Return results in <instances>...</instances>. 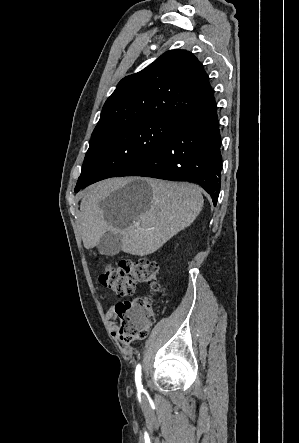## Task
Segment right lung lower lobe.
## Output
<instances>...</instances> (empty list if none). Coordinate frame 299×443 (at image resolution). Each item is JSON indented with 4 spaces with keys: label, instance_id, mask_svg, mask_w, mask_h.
<instances>
[{
    "label": "right lung lower lobe",
    "instance_id": "obj_1",
    "mask_svg": "<svg viewBox=\"0 0 299 443\" xmlns=\"http://www.w3.org/2000/svg\"><path fill=\"white\" fill-rule=\"evenodd\" d=\"M172 135L150 156L120 176H144L199 184L216 206L220 191L221 136L213 94L178 119Z\"/></svg>",
    "mask_w": 299,
    "mask_h": 443
}]
</instances>
